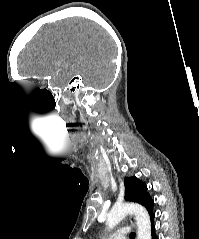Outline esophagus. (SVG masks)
Returning <instances> with one entry per match:
<instances>
[{
    "instance_id": "1",
    "label": "esophagus",
    "mask_w": 199,
    "mask_h": 239,
    "mask_svg": "<svg viewBox=\"0 0 199 239\" xmlns=\"http://www.w3.org/2000/svg\"><path fill=\"white\" fill-rule=\"evenodd\" d=\"M129 220H130L131 224H134V218H133V216H130Z\"/></svg>"
}]
</instances>
